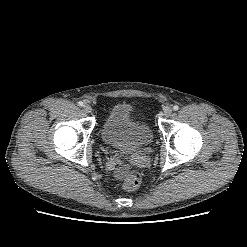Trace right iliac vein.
Here are the masks:
<instances>
[{
  "label": "right iliac vein",
  "mask_w": 247,
  "mask_h": 247,
  "mask_svg": "<svg viewBox=\"0 0 247 247\" xmlns=\"http://www.w3.org/2000/svg\"><path fill=\"white\" fill-rule=\"evenodd\" d=\"M84 110L86 113H91L92 112V107L88 104L84 105Z\"/></svg>",
  "instance_id": "obj_1"
}]
</instances>
